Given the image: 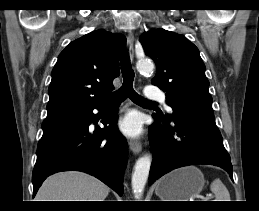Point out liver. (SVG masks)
I'll return each instance as SVG.
<instances>
[{"instance_id":"liver-1","label":"liver","mask_w":259,"mask_h":211,"mask_svg":"<svg viewBox=\"0 0 259 211\" xmlns=\"http://www.w3.org/2000/svg\"><path fill=\"white\" fill-rule=\"evenodd\" d=\"M109 188L97 178L82 172H62L48 177L36 201H104Z\"/></svg>"}]
</instances>
